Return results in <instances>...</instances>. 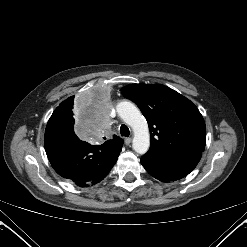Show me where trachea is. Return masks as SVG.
<instances>
[{"label":"trachea","instance_id":"3493384b","mask_svg":"<svg viewBox=\"0 0 247 247\" xmlns=\"http://www.w3.org/2000/svg\"><path fill=\"white\" fill-rule=\"evenodd\" d=\"M120 134L121 136H125V137H128L130 135V130L125 124L121 125Z\"/></svg>","mask_w":247,"mask_h":247}]
</instances>
